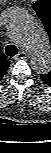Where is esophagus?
Wrapping results in <instances>:
<instances>
[{
    "instance_id": "34e87169",
    "label": "esophagus",
    "mask_w": 51,
    "mask_h": 153,
    "mask_svg": "<svg viewBox=\"0 0 51 153\" xmlns=\"http://www.w3.org/2000/svg\"><path fill=\"white\" fill-rule=\"evenodd\" d=\"M27 56V54L24 52V51H20L17 55H16V58H19V59H23Z\"/></svg>"
}]
</instances>
